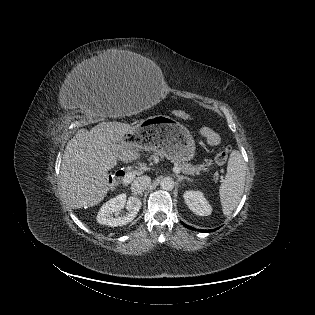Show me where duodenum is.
Here are the masks:
<instances>
[{
	"label": "duodenum",
	"instance_id": "obj_1",
	"mask_svg": "<svg viewBox=\"0 0 315 315\" xmlns=\"http://www.w3.org/2000/svg\"><path fill=\"white\" fill-rule=\"evenodd\" d=\"M125 176V172L123 170H117L115 173H114V178L115 180H121L123 179Z\"/></svg>",
	"mask_w": 315,
	"mask_h": 315
}]
</instances>
